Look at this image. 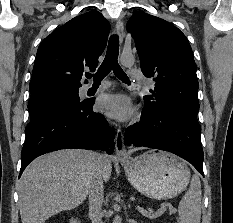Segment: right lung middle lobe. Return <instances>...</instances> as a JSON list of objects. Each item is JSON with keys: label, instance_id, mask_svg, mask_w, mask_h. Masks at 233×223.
Masks as SVG:
<instances>
[{"label": "right lung middle lobe", "instance_id": "dd1d6c3e", "mask_svg": "<svg viewBox=\"0 0 233 223\" xmlns=\"http://www.w3.org/2000/svg\"><path fill=\"white\" fill-rule=\"evenodd\" d=\"M82 102L78 88H54L31 94L28 104L30 121L48 114L67 111Z\"/></svg>", "mask_w": 233, "mask_h": 223}]
</instances>
